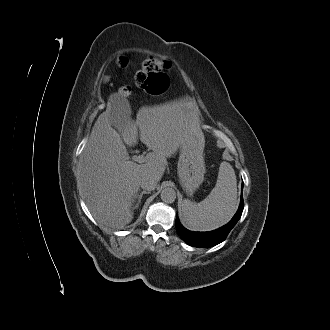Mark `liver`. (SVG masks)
<instances>
[{
	"mask_svg": "<svg viewBox=\"0 0 330 330\" xmlns=\"http://www.w3.org/2000/svg\"><path fill=\"white\" fill-rule=\"evenodd\" d=\"M191 102H173L142 107L136 121L124 107L108 106L95 122L79 164V187L95 220L122 229L133 219L132 202L142 177L153 175L159 181L167 158L185 143L204 146ZM117 130H115L114 128ZM140 140L150 149L143 164L128 159L127 145Z\"/></svg>",
	"mask_w": 330,
	"mask_h": 330,
	"instance_id": "liver-1",
	"label": "liver"
}]
</instances>
